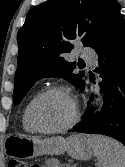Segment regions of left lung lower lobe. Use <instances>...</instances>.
Listing matches in <instances>:
<instances>
[{"mask_svg": "<svg viewBox=\"0 0 125 167\" xmlns=\"http://www.w3.org/2000/svg\"><path fill=\"white\" fill-rule=\"evenodd\" d=\"M95 51L99 62L97 72L103 78L99 83L104 94L103 107L96 115L88 107L81 122L69 132L106 135L125 145V26L122 15Z\"/></svg>", "mask_w": 125, "mask_h": 167, "instance_id": "0a47b994", "label": "left lung lower lobe"}]
</instances>
